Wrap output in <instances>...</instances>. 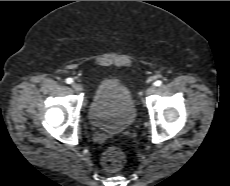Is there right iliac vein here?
Here are the masks:
<instances>
[{"label":"right iliac vein","mask_w":230,"mask_h":186,"mask_svg":"<svg viewBox=\"0 0 230 186\" xmlns=\"http://www.w3.org/2000/svg\"><path fill=\"white\" fill-rule=\"evenodd\" d=\"M73 88H74V90L77 91V92L83 91V87H82L80 84H78V83H74V84H73Z\"/></svg>","instance_id":"63e3f726"}]
</instances>
